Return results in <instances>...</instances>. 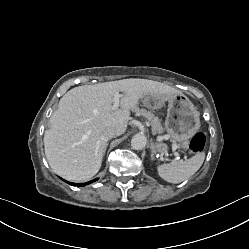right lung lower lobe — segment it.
Segmentation results:
<instances>
[{
	"mask_svg": "<svg viewBox=\"0 0 249 249\" xmlns=\"http://www.w3.org/2000/svg\"><path fill=\"white\" fill-rule=\"evenodd\" d=\"M63 180V179H62ZM97 179H94L93 181H89V182H86V183H78V184H75V183H72V182H67L66 180H63V181H65L66 183H68V184H70V185H72V186H78V187H80V186H85V185H87V184H90V183H92V182H94V181H96Z\"/></svg>",
	"mask_w": 249,
	"mask_h": 249,
	"instance_id": "obj_1",
	"label": "right lung lower lobe"
}]
</instances>
